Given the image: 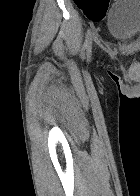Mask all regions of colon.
Returning a JSON list of instances; mask_svg holds the SVG:
<instances>
[{
	"instance_id": "1",
	"label": "colon",
	"mask_w": 140,
	"mask_h": 196,
	"mask_svg": "<svg viewBox=\"0 0 140 196\" xmlns=\"http://www.w3.org/2000/svg\"><path fill=\"white\" fill-rule=\"evenodd\" d=\"M74 1L79 6L85 4V1H83V0H74Z\"/></svg>"
}]
</instances>
